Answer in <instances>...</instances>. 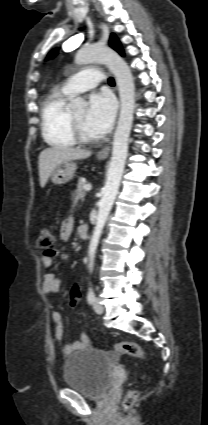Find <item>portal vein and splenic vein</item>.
Masks as SVG:
<instances>
[{
    "instance_id": "1",
    "label": "portal vein and splenic vein",
    "mask_w": 208,
    "mask_h": 425,
    "mask_svg": "<svg viewBox=\"0 0 208 425\" xmlns=\"http://www.w3.org/2000/svg\"><path fill=\"white\" fill-rule=\"evenodd\" d=\"M92 189V185L91 184H86L85 186H84V190L85 191H90Z\"/></svg>"
}]
</instances>
